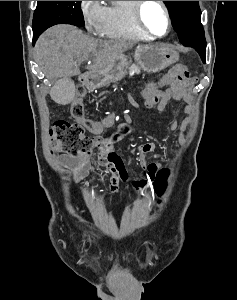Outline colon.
<instances>
[{"instance_id": "5ec220e1", "label": "colon", "mask_w": 237, "mask_h": 300, "mask_svg": "<svg viewBox=\"0 0 237 300\" xmlns=\"http://www.w3.org/2000/svg\"><path fill=\"white\" fill-rule=\"evenodd\" d=\"M172 72L175 74V81L170 87L190 86L194 79L191 77L185 65H177ZM167 89H159L156 93L144 99L146 107L152 108L158 104L164 92ZM85 89L82 86L77 87V92L71 104V114L77 120L84 118V100ZM132 130L131 125L127 123L121 124L117 130L107 137L90 138L85 135L84 129L79 123H71L68 121H58L50 129V140L53 150L64 152L73 157L88 158L93 150L111 148L119 143L122 138L129 134ZM169 172L167 170H159L150 176V184H153L159 194H163L166 190Z\"/></svg>"}]
</instances>
